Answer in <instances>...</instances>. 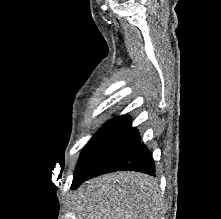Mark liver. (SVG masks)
Masks as SVG:
<instances>
[{
	"instance_id": "1",
	"label": "liver",
	"mask_w": 221,
	"mask_h": 219,
	"mask_svg": "<svg viewBox=\"0 0 221 219\" xmlns=\"http://www.w3.org/2000/svg\"><path fill=\"white\" fill-rule=\"evenodd\" d=\"M159 185L139 172H116L83 184L74 197L76 219H160Z\"/></svg>"
}]
</instances>
